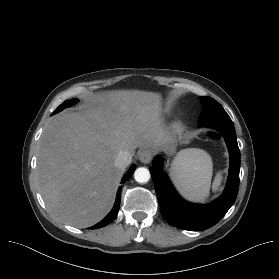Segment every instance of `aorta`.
<instances>
[{"instance_id":"aorta-1","label":"aorta","mask_w":279,"mask_h":279,"mask_svg":"<svg viewBox=\"0 0 279 279\" xmlns=\"http://www.w3.org/2000/svg\"><path fill=\"white\" fill-rule=\"evenodd\" d=\"M150 177V171L145 167H139L134 172V179L138 183H146Z\"/></svg>"}]
</instances>
